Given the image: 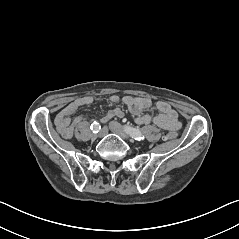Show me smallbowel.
Masks as SVG:
<instances>
[{"label":"small bowel","instance_id":"c3829d8e","mask_svg":"<svg viewBox=\"0 0 239 239\" xmlns=\"http://www.w3.org/2000/svg\"><path fill=\"white\" fill-rule=\"evenodd\" d=\"M120 100L128 107L129 111L135 116V122L139 125H147L153 123L160 128L166 130H178L181 127V123L178 118V113L165 101L153 102L149 98L145 97H132L124 96L122 99L118 95H112L110 101L114 104ZM94 102L92 96L80 97L67 106L62 108L57 114L55 123L58 131L64 138H71L73 136L74 125L85 120L84 115H79L73 120L70 116L81 106L90 105ZM154 106L158 110V114L151 116L143 114V111ZM123 112L119 108H113L109 110L102 118V122L106 123L114 117H122Z\"/></svg>","mask_w":239,"mask_h":239}]
</instances>
